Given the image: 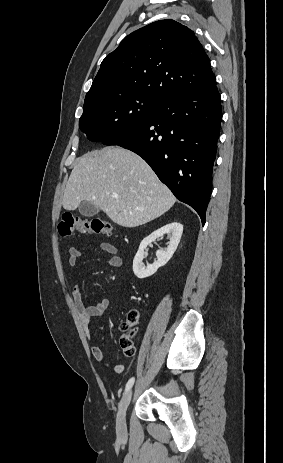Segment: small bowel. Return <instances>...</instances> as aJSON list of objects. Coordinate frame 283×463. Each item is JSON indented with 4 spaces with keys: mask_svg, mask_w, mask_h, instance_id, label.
Instances as JSON below:
<instances>
[{
    "mask_svg": "<svg viewBox=\"0 0 283 463\" xmlns=\"http://www.w3.org/2000/svg\"><path fill=\"white\" fill-rule=\"evenodd\" d=\"M101 249L110 255L108 259V265L113 268H120L122 266V259L118 255L117 247L111 243L103 242L100 245ZM68 261L69 264L74 266L77 264L79 258L82 256L80 249L76 247H70L68 249ZM73 301L77 311L79 312L83 326L85 327L87 335H89L88 325L96 317L101 316L109 308L110 301L108 299L100 300L96 305L88 306L85 303L83 293L78 285L74 286L72 292ZM92 356L95 360L105 362L107 359L105 351L99 346H93L91 348ZM114 372L121 374L124 372V365L118 363L114 365Z\"/></svg>",
    "mask_w": 283,
    "mask_h": 463,
    "instance_id": "1",
    "label": "small bowel"
}]
</instances>
